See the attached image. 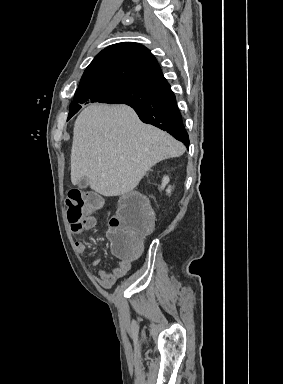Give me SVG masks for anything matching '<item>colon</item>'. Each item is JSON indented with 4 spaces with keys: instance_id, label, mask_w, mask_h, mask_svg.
Returning a JSON list of instances; mask_svg holds the SVG:
<instances>
[{
    "instance_id": "colon-1",
    "label": "colon",
    "mask_w": 283,
    "mask_h": 384,
    "mask_svg": "<svg viewBox=\"0 0 283 384\" xmlns=\"http://www.w3.org/2000/svg\"><path fill=\"white\" fill-rule=\"evenodd\" d=\"M66 205L68 221L78 226L88 213L103 207V199L95 193L71 189ZM153 224V214L144 197L138 192L123 194L109 222L108 237L113 254L125 261L137 258L142 251L144 237L152 231Z\"/></svg>"
}]
</instances>
